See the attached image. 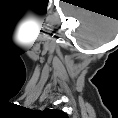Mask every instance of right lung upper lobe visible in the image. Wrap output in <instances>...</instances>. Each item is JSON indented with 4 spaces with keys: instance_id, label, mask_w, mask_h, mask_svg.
<instances>
[{
    "instance_id": "cb5924a9",
    "label": "right lung upper lobe",
    "mask_w": 118,
    "mask_h": 118,
    "mask_svg": "<svg viewBox=\"0 0 118 118\" xmlns=\"http://www.w3.org/2000/svg\"><path fill=\"white\" fill-rule=\"evenodd\" d=\"M48 111L53 114L59 113L57 110H52V109H48Z\"/></svg>"
}]
</instances>
